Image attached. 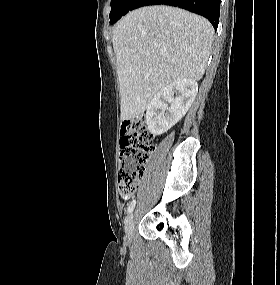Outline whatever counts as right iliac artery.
<instances>
[{
	"label": "right iliac artery",
	"instance_id": "right-iliac-artery-1",
	"mask_svg": "<svg viewBox=\"0 0 280 285\" xmlns=\"http://www.w3.org/2000/svg\"><path fill=\"white\" fill-rule=\"evenodd\" d=\"M135 204H136V200H132L130 202V204L128 205V208H127V213L128 214H130L133 211V209L135 207Z\"/></svg>",
	"mask_w": 280,
	"mask_h": 285
}]
</instances>
